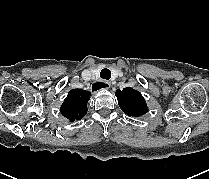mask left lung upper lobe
<instances>
[{
    "label": "left lung upper lobe",
    "instance_id": "5c2ea615",
    "mask_svg": "<svg viewBox=\"0 0 209 179\" xmlns=\"http://www.w3.org/2000/svg\"><path fill=\"white\" fill-rule=\"evenodd\" d=\"M116 96L120 108L128 116L140 117L148 112L147 104L139 91L127 87L117 90Z\"/></svg>",
    "mask_w": 209,
    "mask_h": 179
}]
</instances>
